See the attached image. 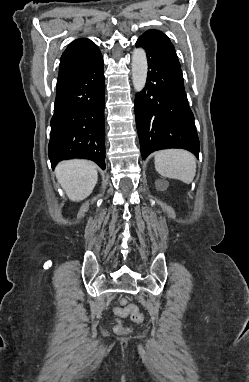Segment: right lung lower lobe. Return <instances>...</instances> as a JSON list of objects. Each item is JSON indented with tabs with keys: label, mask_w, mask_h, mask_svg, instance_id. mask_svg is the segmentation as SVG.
<instances>
[{
	"label": "right lung lower lobe",
	"mask_w": 249,
	"mask_h": 382,
	"mask_svg": "<svg viewBox=\"0 0 249 382\" xmlns=\"http://www.w3.org/2000/svg\"><path fill=\"white\" fill-rule=\"evenodd\" d=\"M105 77L101 53L72 79L57 87L48 155L51 166L86 158L105 169Z\"/></svg>",
	"instance_id": "right-lung-lower-lobe-1"
}]
</instances>
